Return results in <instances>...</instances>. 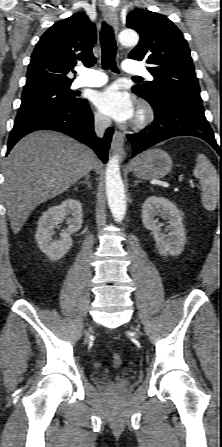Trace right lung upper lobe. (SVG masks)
I'll list each match as a JSON object with an SVG mask.
<instances>
[{
  "label": "right lung upper lobe",
  "mask_w": 222,
  "mask_h": 447,
  "mask_svg": "<svg viewBox=\"0 0 222 447\" xmlns=\"http://www.w3.org/2000/svg\"><path fill=\"white\" fill-rule=\"evenodd\" d=\"M96 27L83 12L56 22L40 38L27 71L24 91L70 86L67 77L78 61L95 63Z\"/></svg>",
  "instance_id": "cb5924a9"
}]
</instances>
